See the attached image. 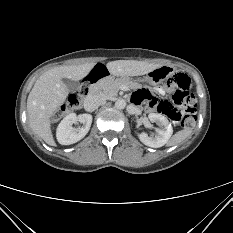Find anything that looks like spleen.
<instances>
[{
	"instance_id": "1",
	"label": "spleen",
	"mask_w": 233,
	"mask_h": 233,
	"mask_svg": "<svg viewBox=\"0 0 233 233\" xmlns=\"http://www.w3.org/2000/svg\"><path fill=\"white\" fill-rule=\"evenodd\" d=\"M192 135V131L190 129H184L178 131L176 134L173 135L171 140L169 141L170 146L178 145L184 142L185 140L189 139Z\"/></svg>"
}]
</instances>
